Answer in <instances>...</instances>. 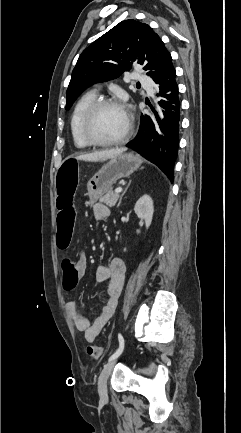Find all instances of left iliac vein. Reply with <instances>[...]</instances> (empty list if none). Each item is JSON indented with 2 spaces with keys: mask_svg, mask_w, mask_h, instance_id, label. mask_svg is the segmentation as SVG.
<instances>
[{
  "mask_svg": "<svg viewBox=\"0 0 241 433\" xmlns=\"http://www.w3.org/2000/svg\"><path fill=\"white\" fill-rule=\"evenodd\" d=\"M117 362V358L109 361L103 368L100 376H99V380H98V392L100 395V398L102 400H106L108 398V394H107V380L108 377L111 373V371L113 370L115 364Z\"/></svg>",
  "mask_w": 241,
  "mask_h": 433,
  "instance_id": "1",
  "label": "left iliac vein"
}]
</instances>
